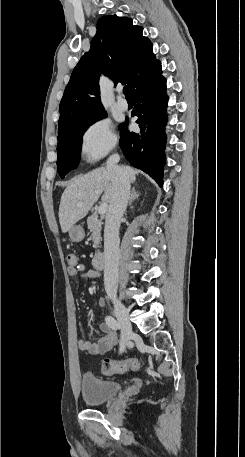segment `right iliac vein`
I'll return each mask as SVG.
<instances>
[{"instance_id":"63e3f726","label":"right iliac vein","mask_w":245,"mask_h":457,"mask_svg":"<svg viewBox=\"0 0 245 457\" xmlns=\"http://www.w3.org/2000/svg\"><path fill=\"white\" fill-rule=\"evenodd\" d=\"M113 304L115 308L116 317L122 328L120 350L124 351L130 339V336L132 335V325L130 323L129 311L126 308V306L119 300H115Z\"/></svg>"}]
</instances>
